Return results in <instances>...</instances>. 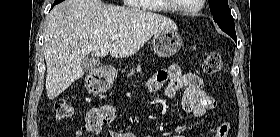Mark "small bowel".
Segmentation results:
<instances>
[{
	"instance_id": "small-bowel-1",
	"label": "small bowel",
	"mask_w": 280,
	"mask_h": 137,
	"mask_svg": "<svg viewBox=\"0 0 280 137\" xmlns=\"http://www.w3.org/2000/svg\"><path fill=\"white\" fill-rule=\"evenodd\" d=\"M167 83L164 100L170 101L177 92H182V107L186 115L203 118L217 108L216 100L208 96L204 90V81L201 76L192 72H182L178 65L168 69L158 70L147 82L146 87L152 92H158ZM116 118V110L111 106L91 109L83 127L77 130L75 137H83L85 133L99 134L103 126L108 125ZM226 123V122H222ZM111 137H134L129 133L110 131ZM175 137H183L178 134Z\"/></svg>"
}]
</instances>
